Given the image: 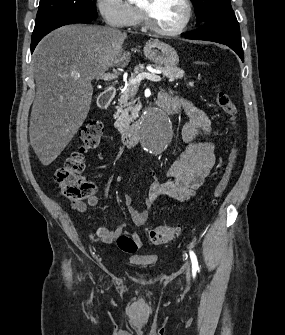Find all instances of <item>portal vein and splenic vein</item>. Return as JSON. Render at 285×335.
I'll use <instances>...</instances> for the list:
<instances>
[{
  "mask_svg": "<svg viewBox=\"0 0 285 335\" xmlns=\"http://www.w3.org/2000/svg\"><path fill=\"white\" fill-rule=\"evenodd\" d=\"M155 74H163V72L162 70H152L151 74H148V72H143V74H137L136 78H132V80H129V84H139V82H141V80H144V78H147V80H151V82H160V76H155ZM117 78V74H103V76H100V78H97V80H104V82H110V80H117Z\"/></svg>",
  "mask_w": 285,
  "mask_h": 335,
  "instance_id": "18ae733b",
  "label": "portal vein and splenic vein"
}]
</instances>
